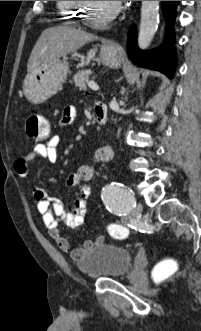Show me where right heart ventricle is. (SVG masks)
<instances>
[{
    "label": "right heart ventricle",
    "instance_id": "obj_1",
    "mask_svg": "<svg viewBox=\"0 0 201 331\" xmlns=\"http://www.w3.org/2000/svg\"><path fill=\"white\" fill-rule=\"evenodd\" d=\"M60 17L63 21L75 24L79 17L78 1H56Z\"/></svg>",
    "mask_w": 201,
    "mask_h": 331
}]
</instances>
